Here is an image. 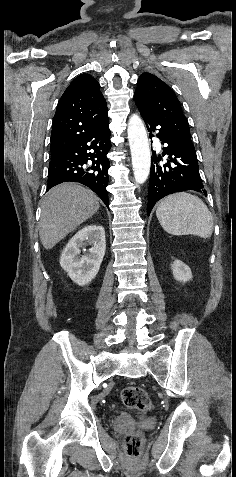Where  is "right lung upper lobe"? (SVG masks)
Returning a JSON list of instances; mask_svg holds the SVG:
<instances>
[{
    "label": "right lung upper lobe",
    "mask_w": 236,
    "mask_h": 477,
    "mask_svg": "<svg viewBox=\"0 0 236 477\" xmlns=\"http://www.w3.org/2000/svg\"><path fill=\"white\" fill-rule=\"evenodd\" d=\"M109 122L99 83L89 74L76 77L63 93L53 119L51 158Z\"/></svg>",
    "instance_id": "right-lung-upper-lobe-1"
}]
</instances>
